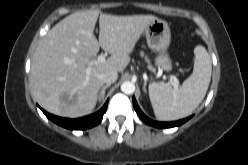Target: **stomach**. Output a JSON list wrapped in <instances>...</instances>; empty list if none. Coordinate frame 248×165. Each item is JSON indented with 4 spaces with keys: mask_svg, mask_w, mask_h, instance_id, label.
I'll return each instance as SVG.
<instances>
[{
    "mask_svg": "<svg viewBox=\"0 0 248 165\" xmlns=\"http://www.w3.org/2000/svg\"><path fill=\"white\" fill-rule=\"evenodd\" d=\"M145 36L149 48L158 54L155 58V64L164 71H170L172 61L167 50L171 33L168 23L158 18L151 21L145 28Z\"/></svg>",
    "mask_w": 248,
    "mask_h": 165,
    "instance_id": "1",
    "label": "stomach"
}]
</instances>
